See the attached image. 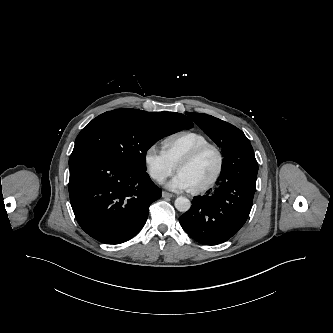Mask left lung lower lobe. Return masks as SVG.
<instances>
[{"mask_svg":"<svg viewBox=\"0 0 333 333\" xmlns=\"http://www.w3.org/2000/svg\"><path fill=\"white\" fill-rule=\"evenodd\" d=\"M258 163L250 142L228 152L214 192L193 198L179 217L182 228L197 242L215 245L227 241L245 224L256 190Z\"/></svg>","mask_w":333,"mask_h":333,"instance_id":"0a47b994","label":"left lung lower lobe"}]
</instances>
